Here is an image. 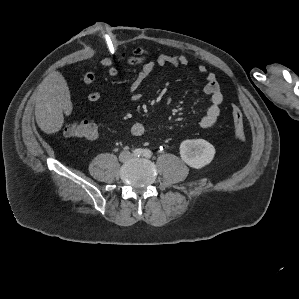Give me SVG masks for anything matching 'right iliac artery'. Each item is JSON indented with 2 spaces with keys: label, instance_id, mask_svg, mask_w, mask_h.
Masks as SVG:
<instances>
[{
  "label": "right iliac artery",
  "instance_id": "obj_1",
  "mask_svg": "<svg viewBox=\"0 0 299 299\" xmlns=\"http://www.w3.org/2000/svg\"><path fill=\"white\" fill-rule=\"evenodd\" d=\"M142 153H143V150L142 149H135L134 151H133V155L134 156H141L142 155Z\"/></svg>",
  "mask_w": 299,
  "mask_h": 299
}]
</instances>
